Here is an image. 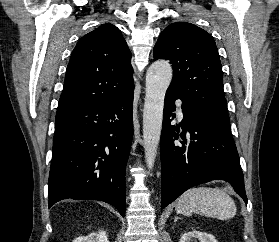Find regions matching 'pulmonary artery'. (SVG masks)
Returning <instances> with one entry per match:
<instances>
[{
	"label": "pulmonary artery",
	"instance_id": "obj_1",
	"mask_svg": "<svg viewBox=\"0 0 279 242\" xmlns=\"http://www.w3.org/2000/svg\"><path fill=\"white\" fill-rule=\"evenodd\" d=\"M177 105H178V107H177V114H178V117H179V118H183V111H182V108H181V102L178 101V102H177Z\"/></svg>",
	"mask_w": 279,
	"mask_h": 242
}]
</instances>
